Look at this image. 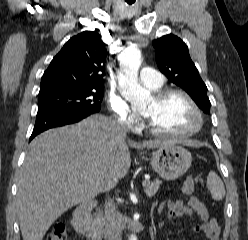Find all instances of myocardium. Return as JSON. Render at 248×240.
Returning <instances> with one entry per match:
<instances>
[{"mask_svg":"<svg viewBox=\"0 0 248 240\" xmlns=\"http://www.w3.org/2000/svg\"><path fill=\"white\" fill-rule=\"evenodd\" d=\"M172 95H180L186 99V101L190 104L192 107L196 117H197V125L185 132H169V131H163L158 130L152 126V124L149 122V120L146 118V129L149 133L159 136V137H165V138H186L191 137L193 135H196L199 133L204 125V117L201 109L195 102V100L191 97L189 93L186 91L179 89V88H162L154 93V98L158 102L164 101L166 98Z\"/></svg>","mask_w":248,"mask_h":240,"instance_id":"obj_1","label":"myocardium"}]
</instances>
